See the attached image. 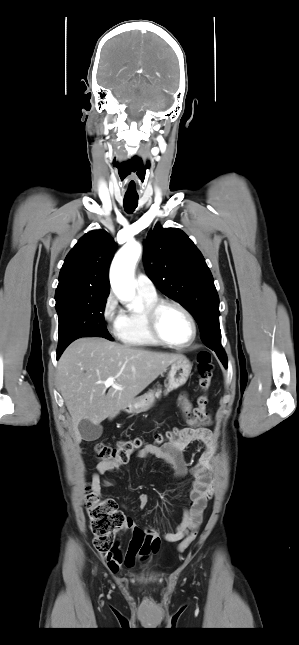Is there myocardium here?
I'll use <instances>...</instances> for the list:
<instances>
[{
	"instance_id": "obj_1",
	"label": "myocardium",
	"mask_w": 299,
	"mask_h": 645,
	"mask_svg": "<svg viewBox=\"0 0 299 645\" xmlns=\"http://www.w3.org/2000/svg\"><path fill=\"white\" fill-rule=\"evenodd\" d=\"M175 307L179 309L181 312L185 314V316L188 318L190 325H191V336L190 338L183 343H175L167 340L164 338L162 335L160 328H159V318L162 310L165 307ZM146 322L148 329L151 333V335L162 345L172 347V348H184L189 345H191L197 336V324L194 316L192 313L180 302L171 300V299H160L154 302L152 305H150L147 310H146Z\"/></svg>"
}]
</instances>
